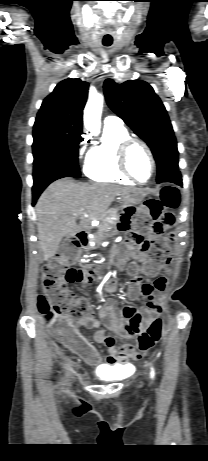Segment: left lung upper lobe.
Listing matches in <instances>:
<instances>
[{"instance_id":"5c2ea615","label":"left lung upper lobe","mask_w":208,"mask_h":461,"mask_svg":"<svg viewBox=\"0 0 208 461\" xmlns=\"http://www.w3.org/2000/svg\"><path fill=\"white\" fill-rule=\"evenodd\" d=\"M109 107L150 147L157 162V182L178 170V150L167 111L153 88L142 80L122 84L107 79Z\"/></svg>"}]
</instances>
